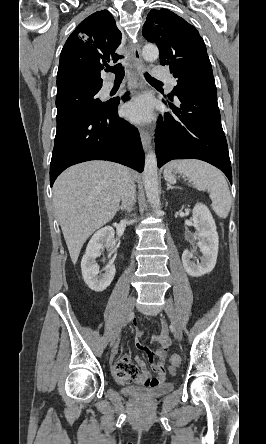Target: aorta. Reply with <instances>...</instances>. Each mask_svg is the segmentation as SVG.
Here are the masks:
<instances>
[{
	"label": "aorta",
	"instance_id": "1",
	"mask_svg": "<svg viewBox=\"0 0 266 444\" xmlns=\"http://www.w3.org/2000/svg\"><path fill=\"white\" fill-rule=\"evenodd\" d=\"M142 57L147 62H153L159 57V50L153 44H146L142 49ZM144 188L147 199L153 205L156 213L161 212L160 198L158 191V167L156 155L150 151L145 158L143 171Z\"/></svg>",
	"mask_w": 266,
	"mask_h": 444
}]
</instances>
